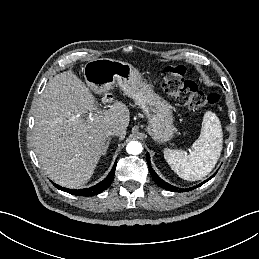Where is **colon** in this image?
<instances>
[{
    "instance_id": "obj_1",
    "label": "colon",
    "mask_w": 259,
    "mask_h": 259,
    "mask_svg": "<svg viewBox=\"0 0 259 259\" xmlns=\"http://www.w3.org/2000/svg\"><path fill=\"white\" fill-rule=\"evenodd\" d=\"M186 68L183 65L166 67L162 75V87L176 103L190 110H199L207 105H215L220 96L217 93L205 94L198 86L185 79Z\"/></svg>"
}]
</instances>
